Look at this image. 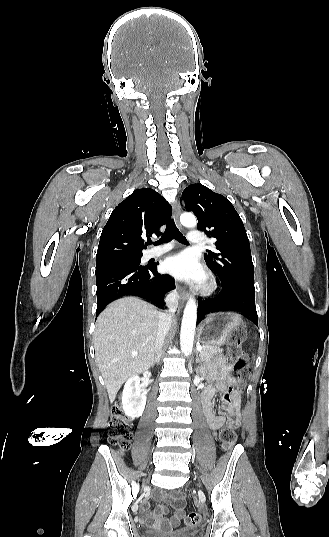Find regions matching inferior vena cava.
<instances>
[{
  "mask_svg": "<svg viewBox=\"0 0 329 537\" xmlns=\"http://www.w3.org/2000/svg\"><path fill=\"white\" fill-rule=\"evenodd\" d=\"M178 299H179V295L177 291H171L165 298V302L168 306V311L166 313H161L160 318H159L158 331H157V337H156V347H155V351L158 353L160 352L163 346L165 336L170 330L172 316L174 312L176 311V308L178 305Z\"/></svg>",
  "mask_w": 329,
  "mask_h": 537,
  "instance_id": "obj_1",
  "label": "inferior vena cava"
}]
</instances>
